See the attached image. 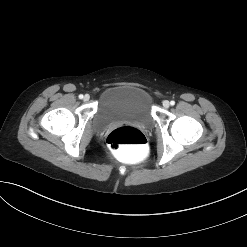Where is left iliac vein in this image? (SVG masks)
Masks as SVG:
<instances>
[{
  "instance_id": "4c4485c4",
  "label": "left iliac vein",
  "mask_w": 247,
  "mask_h": 247,
  "mask_svg": "<svg viewBox=\"0 0 247 247\" xmlns=\"http://www.w3.org/2000/svg\"><path fill=\"white\" fill-rule=\"evenodd\" d=\"M163 106H164V108H169V106H170L169 101H167V100L163 101Z\"/></svg>"
}]
</instances>
